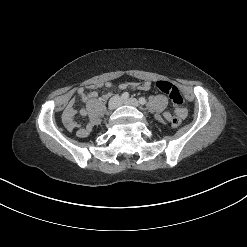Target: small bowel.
Instances as JSON below:
<instances>
[{
    "mask_svg": "<svg viewBox=\"0 0 247 247\" xmlns=\"http://www.w3.org/2000/svg\"><path fill=\"white\" fill-rule=\"evenodd\" d=\"M102 86H104L106 88H111L112 87V83L111 82L96 83V84L91 85V88L95 89V88H99V87H102ZM150 87H151V84L148 81H143V82H123V83H121L119 85V89L120 90H126V89L149 90ZM77 94L85 102L93 100V99H96L98 97V93L96 91L87 92V91H85L84 88H79L77 90ZM75 102H76V98L75 97L70 99V101L68 102L67 106L64 109L63 116H62V121H63V124H64L65 128L69 132H75L78 137H86L92 131L93 124L92 123H87L86 125L81 126L75 121V119H74L75 114H76ZM175 113H176V115L180 116L181 118H184L186 116V109L183 108V107L182 108H176L175 109ZM80 114L82 116H86L88 114L87 109L82 108L80 110ZM171 116L172 115L169 112H167L165 114V118L168 119V120L171 118Z\"/></svg>",
    "mask_w": 247,
    "mask_h": 247,
    "instance_id": "obj_1",
    "label": "small bowel"
}]
</instances>
